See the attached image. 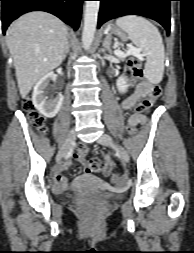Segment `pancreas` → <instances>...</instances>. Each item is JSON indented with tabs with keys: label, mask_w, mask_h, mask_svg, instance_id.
Instances as JSON below:
<instances>
[{
	"label": "pancreas",
	"mask_w": 194,
	"mask_h": 253,
	"mask_svg": "<svg viewBox=\"0 0 194 253\" xmlns=\"http://www.w3.org/2000/svg\"><path fill=\"white\" fill-rule=\"evenodd\" d=\"M118 59H120V60H124V59H125V57L118 56Z\"/></svg>",
	"instance_id": "pancreas-1"
}]
</instances>
